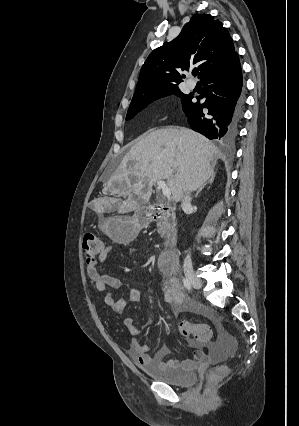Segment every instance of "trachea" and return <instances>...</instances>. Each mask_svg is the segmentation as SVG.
<instances>
[{"label": "trachea", "instance_id": "3493384b", "mask_svg": "<svg viewBox=\"0 0 299 426\" xmlns=\"http://www.w3.org/2000/svg\"><path fill=\"white\" fill-rule=\"evenodd\" d=\"M198 74V70L193 71V75L196 76Z\"/></svg>", "mask_w": 299, "mask_h": 426}]
</instances>
